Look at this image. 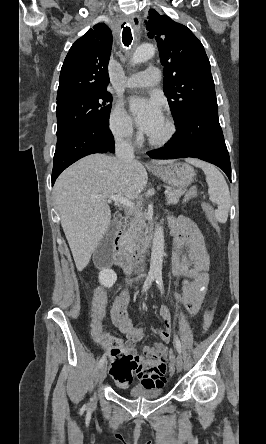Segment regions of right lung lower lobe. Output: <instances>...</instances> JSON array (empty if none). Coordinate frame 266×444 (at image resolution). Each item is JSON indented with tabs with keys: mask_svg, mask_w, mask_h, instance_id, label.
<instances>
[{
	"mask_svg": "<svg viewBox=\"0 0 266 444\" xmlns=\"http://www.w3.org/2000/svg\"><path fill=\"white\" fill-rule=\"evenodd\" d=\"M114 138L108 127L80 132L56 146L52 171V186L60 173L80 158L94 153H113Z\"/></svg>",
	"mask_w": 266,
	"mask_h": 444,
	"instance_id": "right-lung-lower-lobe-1",
	"label": "right lung lower lobe"
}]
</instances>
